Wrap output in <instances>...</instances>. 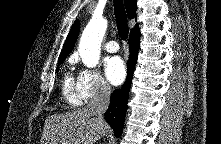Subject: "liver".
I'll return each instance as SVG.
<instances>
[{"label":"liver","instance_id":"liver-1","mask_svg":"<svg viewBox=\"0 0 221 144\" xmlns=\"http://www.w3.org/2000/svg\"><path fill=\"white\" fill-rule=\"evenodd\" d=\"M87 108L49 116L42 132L43 144H94L108 130Z\"/></svg>","mask_w":221,"mask_h":144}]
</instances>
